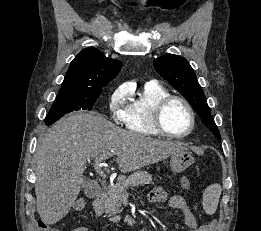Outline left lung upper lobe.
<instances>
[{"mask_svg": "<svg viewBox=\"0 0 261 231\" xmlns=\"http://www.w3.org/2000/svg\"><path fill=\"white\" fill-rule=\"evenodd\" d=\"M154 67L168 83L188 100L208 129L218 139H221L203 90L187 60L174 54H165L154 60Z\"/></svg>", "mask_w": 261, "mask_h": 231, "instance_id": "left-lung-upper-lobe-1", "label": "left lung upper lobe"}]
</instances>
